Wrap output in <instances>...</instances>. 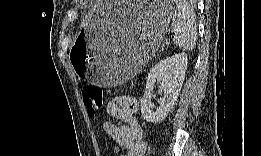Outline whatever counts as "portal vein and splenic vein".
Masks as SVG:
<instances>
[{
    "label": "portal vein and splenic vein",
    "mask_w": 261,
    "mask_h": 156,
    "mask_svg": "<svg viewBox=\"0 0 261 156\" xmlns=\"http://www.w3.org/2000/svg\"><path fill=\"white\" fill-rule=\"evenodd\" d=\"M166 44H170V40L167 39V40H166Z\"/></svg>",
    "instance_id": "obj_1"
}]
</instances>
